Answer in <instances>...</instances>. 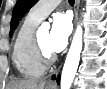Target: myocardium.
<instances>
[{
	"mask_svg": "<svg viewBox=\"0 0 107 89\" xmlns=\"http://www.w3.org/2000/svg\"><path fill=\"white\" fill-rule=\"evenodd\" d=\"M33 50H34L36 59L45 68L50 66L54 62L55 60L54 54L46 51L42 47L37 33H35L34 39H33Z\"/></svg>",
	"mask_w": 107,
	"mask_h": 89,
	"instance_id": "obj_1",
	"label": "myocardium"
}]
</instances>
